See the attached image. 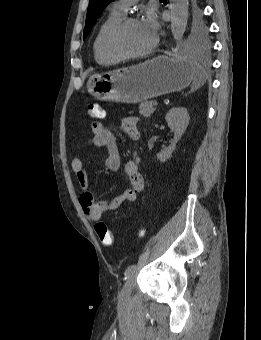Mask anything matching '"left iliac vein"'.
Listing matches in <instances>:
<instances>
[{
	"label": "left iliac vein",
	"mask_w": 261,
	"mask_h": 340,
	"mask_svg": "<svg viewBox=\"0 0 261 340\" xmlns=\"http://www.w3.org/2000/svg\"><path fill=\"white\" fill-rule=\"evenodd\" d=\"M135 282V275L132 274L129 279L126 281L125 285L123 286L120 294H119V301L121 303L127 302L130 299L132 289L134 287Z\"/></svg>",
	"instance_id": "left-iliac-vein-1"
}]
</instances>
